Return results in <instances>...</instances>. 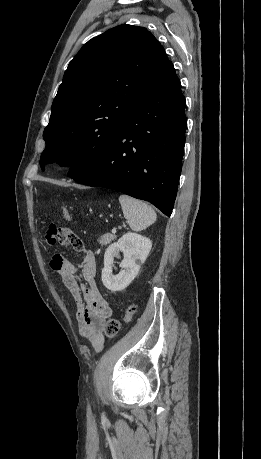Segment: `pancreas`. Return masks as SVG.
<instances>
[{"instance_id":"cf45deb5","label":"pancreas","mask_w":261,"mask_h":459,"mask_svg":"<svg viewBox=\"0 0 261 459\" xmlns=\"http://www.w3.org/2000/svg\"><path fill=\"white\" fill-rule=\"evenodd\" d=\"M115 239H116V236L114 234L108 233V234H104L100 236V238L97 241L101 246H104L114 241Z\"/></svg>"}]
</instances>
